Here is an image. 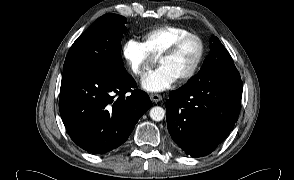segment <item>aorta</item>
<instances>
[{
	"instance_id": "762f6f07",
	"label": "aorta",
	"mask_w": 294,
	"mask_h": 180,
	"mask_svg": "<svg viewBox=\"0 0 294 180\" xmlns=\"http://www.w3.org/2000/svg\"><path fill=\"white\" fill-rule=\"evenodd\" d=\"M149 115L154 121H161L165 116V110L162 107L155 106L151 108Z\"/></svg>"
}]
</instances>
